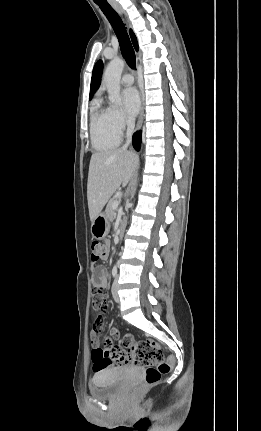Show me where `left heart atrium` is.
Listing matches in <instances>:
<instances>
[{"label":"left heart atrium","mask_w":261,"mask_h":431,"mask_svg":"<svg viewBox=\"0 0 261 431\" xmlns=\"http://www.w3.org/2000/svg\"><path fill=\"white\" fill-rule=\"evenodd\" d=\"M122 105L129 118H133L140 109V96L134 87H128L122 92Z\"/></svg>","instance_id":"39dd6f15"}]
</instances>
